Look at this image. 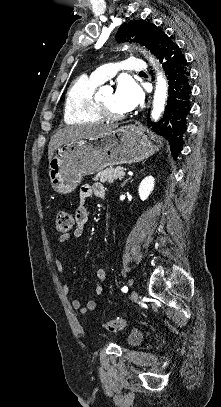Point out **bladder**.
Returning a JSON list of instances; mask_svg holds the SVG:
<instances>
[{
  "instance_id": "1",
  "label": "bladder",
  "mask_w": 221,
  "mask_h": 407,
  "mask_svg": "<svg viewBox=\"0 0 221 407\" xmlns=\"http://www.w3.org/2000/svg\"><path fill=\"white\" fill-rule=\"evenodd\" d=\"M143 340V332L141 330H132L126 336V342L130 346H138Z\"/></svg>"
}]
</instances>
